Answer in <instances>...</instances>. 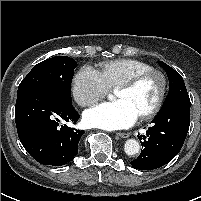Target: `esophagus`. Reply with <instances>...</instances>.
Listing matches in <instances>:
<instances>
[{
    "label": "esophagus",
    "instance_id": "1",
    "mask_svg": "<svg viewBox=\"0 0 201 201\" xmlns=\"http://www.w3.org/2000/svg\"><path fill=\"white\" fill-rule=\"evenodd\" d=\"M117 136L121 137V138H128L130 136V134L129 133L118 132Z\"/></svg>",
    "mask_w": 201,
    "mask_h": 201
}]
</instances>
